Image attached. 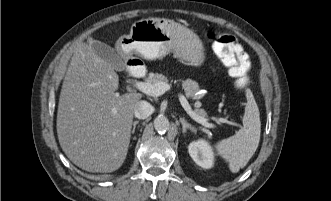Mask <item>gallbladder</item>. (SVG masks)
Segmentation results:
<instances>
[{
  "instance_id": "bac80fb5",
  "label": "gallbladder",
  "mask_w": 331,
  "mask_h": 201,
  "mask_svg": "<svg viewBox=\"0 0 331 201\" xmlns=\"http://www.w3.org/2000/svg\"><path fill=\"white\" fill-rule=\"evenodd\" d=\"M91 46L96 55L109 63L115 70L122 71L126 68V64L120 58L119 54L109 45L100 41L92 40Z\"/></svg>"
}]
</instances>
